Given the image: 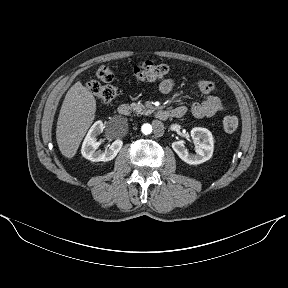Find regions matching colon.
Here are the masks:
<instances>
[{
    "label": "colon",
    "instance_id": "colon-1",
    "mask_svg": "<svg viewBox=\"0 0 288 288\" xmlns=\"http://www.w3.org/2000/svg\"><path fill=\"white\" fill-rule=\"evenodd\" d=\"M168 72L165 64L146 61L141 65L133 68V76L137 81H155L162 79ZM97 80L87 82L88 90L103 102L113 101L119 94V89L109 84L114 80V72L109 66H101L96 72ZM105 84H103V83ZM223 129L226 133H234L239 125L236 116H226L222 122Z\"/></svg>",
    "mask_w": 288,
    "mask_h": 288
}]
</instances>
